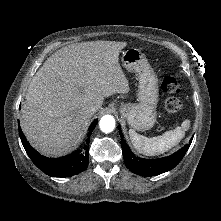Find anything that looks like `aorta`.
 <instances>
[{"mask_svg": "<svg viewBox=\"0 0 221 221\" xmlns=\"http://www.w3.org/2000/svg\"><path fill=\"white\" fill-rule=\"evenodd\" d=\"M99 127L102 132L109 133L115 128V119L111 115H105L101 118L99 122Z\"/></svg>", "mask_w": 221, "mask_h": 221, "instance_id": "obj_1", "label": "aorta"}]
</instances>
